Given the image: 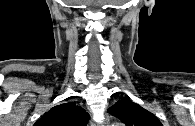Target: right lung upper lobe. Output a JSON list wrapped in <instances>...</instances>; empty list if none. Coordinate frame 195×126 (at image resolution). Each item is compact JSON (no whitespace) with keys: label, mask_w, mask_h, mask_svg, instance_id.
Listing matches in <instances>:
<instances>
[{"label":"right lung upper lobe","mask_w":195,"mask_h":126,"mask_svg":"<svg viewBox=\"0 0 195 126\" xmlns=\"http://www.w3.org/2000/svg\"><path fill=\"white\" fill-rule=\"evenodd\" d=\"M89 115L74 102L63 103L51 108L34 126H86Z\"/></svg>","instance_id":"right-lung-upper-lobe-1"}]
</instances>
